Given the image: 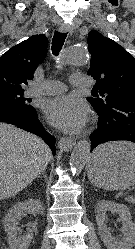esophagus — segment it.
Returning <instances> with one entry per match:
<instances>
[{
    "instance_id": "obj_1",
    "label": "esophagus",
    "mask_w": 135,
    "mask_h": 249,
    "mask_svg": "<svg viewBox=\"0 0 135 249\" xmlns=\"http://www.w3.org/2000/svg\"><path fill=\"white\" fill-rule=\"evenodd\" d=\"M59 30L61 32H67L69 34H72V27H71V25H69L67 23L61 24L59 27ZM74 145H75V141L73 139H68V138L62 137L59 140V147L61 150L65 151V152L70 151Z\"/></svg>"
}]
</instances>
